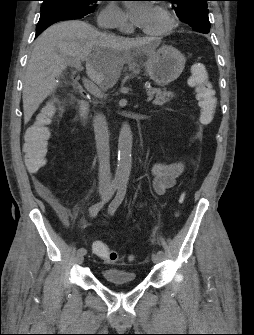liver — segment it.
<instances>
[{
  "mask_svg": "<svg viewBox=\"0 0 254 335\" xmlns=\"http://www.w3.org/2000/svg\"><path fill=\"white\" fill-rule=\"evenodd\" d=\"M136 52L130 53V50ZM150 39L102 33L83 21H65L47 28L36 40L23 83L24 121L55 91L70 57L86 61L87 76L102 89L112 88L123 65L153 52Z\"/></svg>",
  "mask_w": 254,
  "mask_h": 335,
  "instance_id": "1",
  "label": "liver"
}]
</instances>
